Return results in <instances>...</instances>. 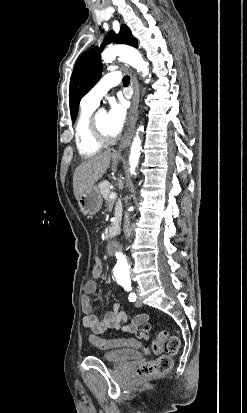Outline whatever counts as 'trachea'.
<instances>
[{"mask_svg":"<svg viewBox=\"0 0 247 413\" xmlns=\"http://www.w3.org/2000/svg\"><path fill=\"white\" fill-rule=\"evenodd\" d=\"M130 83V77L129 76H124L123 78V85L128 86Z\"/></svg>","mask_w":247,"mask_h":413,"instance_id":"trachea-1","label":"trachea"}]
</instances>
